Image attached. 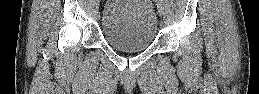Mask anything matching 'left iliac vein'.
Masks as SVG:
<instances>
[{
    "label": "left iliac vein",
    "mask_w": 259,
    "mask_h": 94,
    "mask_svg": "<svg viewBox=\"0 0 259 94\" xmlns=\"http://www.w3.org/2000/svg\"><path fill=\"white\" fill-rule=\"evenodd\" d=\"M157 8H158V12H159V15H163V7H162V4L160 2L157 3Z\"/></svg>",
    "instance_id": "1"
}]
</instances>
